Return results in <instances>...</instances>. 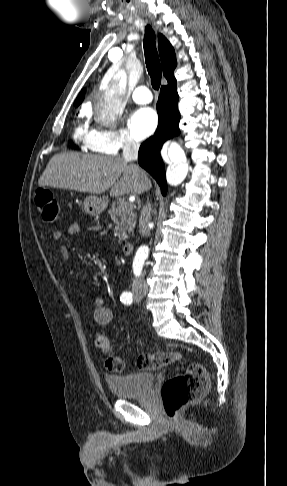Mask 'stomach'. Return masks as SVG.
Returning a JSON list of instances; mask_svg holds the SVG:
<instances>
[{
	"label": "stomach",
	"mask_w": 287,
	"mask_h": 486,
	"mask_svg": "<svg viewBox=\"0 0 287 486\" xmlns=\"http://www.w3.org/2000/svg\"><path fill=\"white\" fill-rule=\"evenodd\" d=\"M84 210L87 214H100L106 207V202L98 196L89 195L84 199Z\"/></svg>",
	"instance_id": "stomach-1"
}]
</instances>
